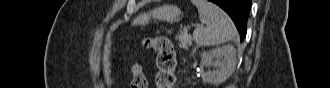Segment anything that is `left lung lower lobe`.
Here are the masks:
<instances>
[{
	"mask_svg": "<svg viewBox=\"0 0 330 88\" xmlns=\"http://www.w3.org/2000/svg\"><path fill=\"white\" fill-rule=\"evenodd\" d=\"M221 7L231 17L240 34L241 41L246 36V25L251 0H210Z\"/></svg>",
	"mask_w": 330,
	"mask_h": 88,
	"instance_id": "left-lung-lower-lobe-1",
	"label": "left lung lower lobe"
}]
</instances>
